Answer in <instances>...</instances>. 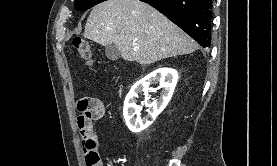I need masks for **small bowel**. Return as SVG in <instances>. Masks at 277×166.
<instances>
[{
  "label": "small bowel",
  "mask_w": 277,
  "mask_h": 166,
  "mask_svg": "<svg viewBox=\"0 0 277 166\" xmlns=\"http://www.w3.org/2000/svg\"><path fill=\"white\" fill-rule=\"evenodd\" d=\"M77 108L80 112L79 116L77 117V123L79 128L82 127V124L85 121H88L92 126L93 120H99L104 117L105 115V106L97 98H84L79 100L77 103ZM103 136L97 133H93L91 138H88L83 135V147L85 153V159L88 166H92L90 164V157L94 154H98V148L103 140ZM116 146V143H113Z\"/></svg>",
  "instance_id": "small-bowel-1"
}]
</instances>
